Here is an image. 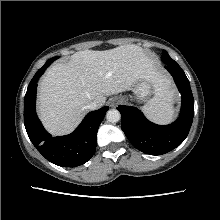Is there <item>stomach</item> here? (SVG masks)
I'll use <instances>...</instances> for the list:
<instances>
[{"instance_id":"obj_1","label":"stomach","mask_w":220,"mask_h":220,"mask_svg":"<svg viewBox=\"0 0 220 220\" xmlns=\"http://www.w3.org/2000/svg\"><path fill=\"white\" fill-rule=\"evenodd\" d=\"M137 101H145L152 93V83L148 79H139L130 89ZM130 98L132 96L130 95Z\"/></svg>"}]
</instances>
